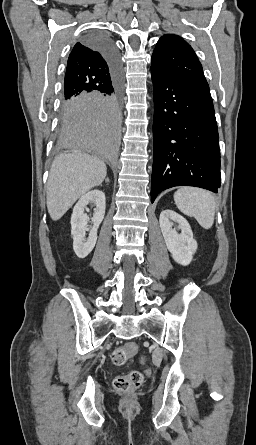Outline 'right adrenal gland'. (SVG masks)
<instances>
[{
	"mask_svg": "<svg viewBox=\"0 0 256 445\" xmlns=\"http://www.w3.org/2000/svg\"><path fill=\"white\" fill-rule=\"evenodd\" d=\"M105 182H106V183H109L110 181H109V179H108V178H106V179H105Z\"/></svg>",
	"mask_w": 256,
	"mask_h": 445,
	"instance_id": "obj_1",
	"label": "right adrenal gland"
}]
</instances>
